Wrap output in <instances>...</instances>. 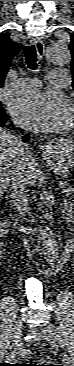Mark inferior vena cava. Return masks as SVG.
Here are the masks:
<instances>
[{
	"label": "inferior vena cava",
	"instance_id": "inferior-vena-cava-1",
	"mask_svg": "<svg viewBox=\"0 0 74 366\" xmlns=\"http://www.w3.org/2000/svg\"><path fill=\"white\" fill-rule=\"evenodd\" d=\"M20 150L22 152V155H24L23 156L24 159L20 162L17 171L13 174L11 178V202L14 208L19 213V216L22 219H24L26 214L29 213L28 209L29 190L27 188L29 184L26 174L24 172V164L25 160H28V158L30 157L31 151L29 145L23 142L21 143ZM20 231L23 232L24 234L30 233V229L27 227H22ZM23 245L26 247L29 246V244L25 239ZM27 255L31 256L30 253H28Z\"/></svg>",
	"mask_w": 74,
	"mask_h": 366
}]
</instances>
